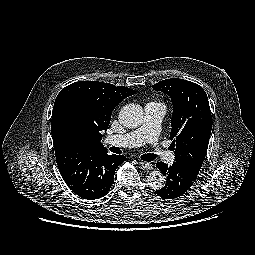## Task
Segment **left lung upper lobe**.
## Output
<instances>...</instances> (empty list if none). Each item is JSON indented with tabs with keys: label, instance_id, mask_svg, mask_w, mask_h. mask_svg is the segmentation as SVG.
I'll return each mask as SVG.
<instances>
[{
	"label": "left lung upper lobe",
	"instance_id": "1",
	"mask_svg": "<svg viewBox=\"0 0 255 255\" xmlns=\"http://www.w3.org/2000/svg\"><path fill=\"white\" fill-rule=\"evenodd\" d=\"M152 88L168 94L173 104L170 139L175 161L201 169L207 153L212 116L207 95L196 83L171 78Z\"/></svg>",
	"mask_w": 255,
	"mask_h": 255
}]
</instances>
